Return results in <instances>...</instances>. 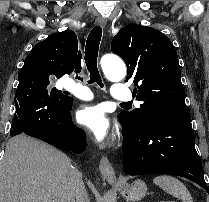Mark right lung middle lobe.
Listing matches in <instances>:
<instances>
[{"label": "right lung middle lobe", "mask_w": 209, "mask_h": 202, "mask_svg": "<svg viewBox=\"0 0 209 202\" xmlns=\"http://www.w3.org/2000/svg\"><path fill=\"white\" fill-rule=\"evenodd\" d=\"M19 82H25L27 80H32L36 84H38L41 88L46 90L50 95L53 97L60 99L61 101L66 98V95H64L61 91L57 90L53 85L50 83L49 76L43 75V74H34L31 76L24 75V76H18Z\"/></svg>", "instance_id": "obj_1"}]
</instances>
